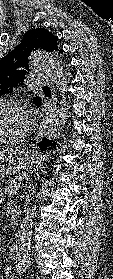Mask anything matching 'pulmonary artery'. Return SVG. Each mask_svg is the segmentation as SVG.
<instances>
[{
	"label": "pulmonary artery",
	"instance_id": "e3ab8cb5",
	"mask_svg": "<svg viewBox=\"0 0 113 279\" xmlns=\"http://www.w3.org/2000/svg\"><path fill=\"white\" fill-rule=\"evenodd\" d=\"M35 77L33 78V83L37 85H44L48 83V77L41 73H35Z\"/></svg>",
	"mask_w": 113,
	"mask_h": 279
}]
</instances>
